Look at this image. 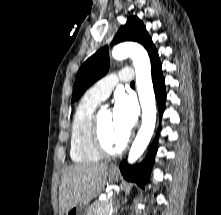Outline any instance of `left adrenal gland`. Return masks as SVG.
<instances>
[{
  "label": "left adrenal gland",
  "instance_id": "a2214340",
  "mask_svg": "<svg viewBox=\"0 0 221 215\" xmlns=\"http://www.w3.org/2000/svg\"><path fill=\"white\" fill-rule=\"evenodd\" d=\"M120 208V205L117 204V206L114 208V213H117L118 209Z\"/></svg>",
  "mask_w": 221,
  "mask_h": 215
}]
</instances>
